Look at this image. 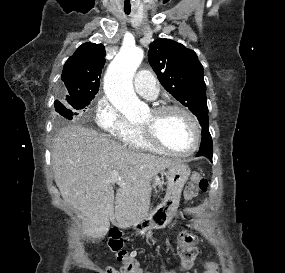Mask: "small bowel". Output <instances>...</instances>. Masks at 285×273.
I'll list each match as a JSON object with an SVG mask.
<instances>
[{
	"label": "small bowel",
	"instance_id": "small-bowel-1",
	"mask_svg": "<svg viewBox=\"0 0 285 273\" xmlns=\"http://www.w3.org/2000/svg\"><path fill=\"white\" fill-rule=\"evenodd\" d=\"M206 270L203 273H218V266L216 263L208 261L205 263ZM142 273H152V272H144L142 270ZM156 273H175L173 270L169 269L165 264H161L159 266V269Z\"/></svg>",
	"mask_w": 285,
	"mask_h": 273
}]
</instances>
